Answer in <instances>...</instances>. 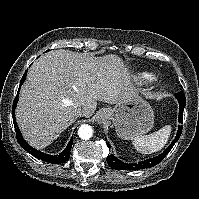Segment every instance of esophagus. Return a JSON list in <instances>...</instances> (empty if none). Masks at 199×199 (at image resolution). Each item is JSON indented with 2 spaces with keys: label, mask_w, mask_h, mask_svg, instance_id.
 <instances>
[{
  "label": "esophagus",
  "mask_w": 199,
  "mask_h": 199,
  "mask_svg": "<svg viewBox=\"0 0 199 199\" xmlns=\"http://www.w3.org/2000/svg\"><path fill=\"white\" fill-rule=\"evenodd\" d=\"M104 119H105V115H104V114H100V115L98 116V118H97V120H98L99 122L104 121Z\"/></svg>",
  "instance_id": "esophagus-1"
}]
</instances>
